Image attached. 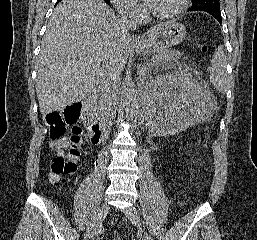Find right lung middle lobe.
I'll list each match as a JSON object with an SVG mask.
<instances>
[{
	"label": "right lung middle lobe",
	"mask_w": 257,
	"mask_h": 240,
	"mask_svg": "<svg viewBox=\"0 0 257 240\" xmlns=\"http://www.w3.org/2000/svg\"><path fill=\"white\" fill-rule=\"evenodd\" d=\"M104 1L107 2V3L109 2V0H104Z\"/></svg>",
	"instance_id": "1"
}]
</instances>
